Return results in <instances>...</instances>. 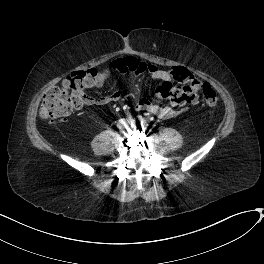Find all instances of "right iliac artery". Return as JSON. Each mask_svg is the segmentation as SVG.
<instances>
[{"label":"right iliac artery","mask_w":264,"mask_h":264,"mask_svg":"<svg viewBox=\"0 0 264 264\" xmlns=\"http://www.w3.org/2000/svg\"><path fill=\"white\" fill-rule=\"evenodd\" d=\"M132 123H135V120H132Z\"/></svg>","instance_id":"82829eb1"}]
</instances>
